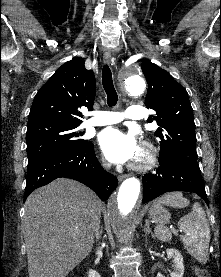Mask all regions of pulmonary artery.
I'll return each instance as SVG.
<instances>
[{
    "mask_svg": "<svg viewBox=\"0 0 221 277\" xmlns=\"http://www.w3.org/2000/svg\"><path fill=\"white\" fill-rule=\"evenodd\" d=\"M146 111L141 105H131L124 113L115 111H95L93 116L87 120V126H104L116 124L124 119L142 120L145 118Z\"/></svg>",
    "mask_w": 221,
    "mask_h": 277,
    "instance_id": "e3ab8cb5",
    "label": "pulmonary artery"
}]
</instances>
